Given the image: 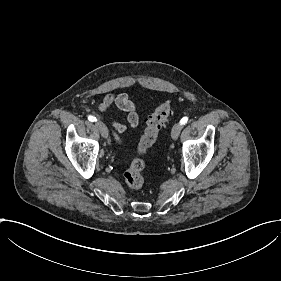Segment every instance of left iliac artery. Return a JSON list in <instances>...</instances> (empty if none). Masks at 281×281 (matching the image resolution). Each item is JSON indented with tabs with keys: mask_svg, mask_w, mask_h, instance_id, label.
Returning <instances> with one entry per match:
<instances>
[{
	"mask_svg": "<svg viewBox=\"0 0 281 281\" xmlns=\"http://www.w3.org/2000/svg\"><path fill=\"white\" fill-rule=\"evenodd\" d=\"M187 121H188V118H187V117H183V118L181 119V121H180V124H181V125H184L185 123H187Z\"/></svg>",
	"mask_w": 281,
	"mask_h": 281,
	"instance_id": "left-iliac-artery-1",
	"label": "left iliac artery"
}]
</instances>
